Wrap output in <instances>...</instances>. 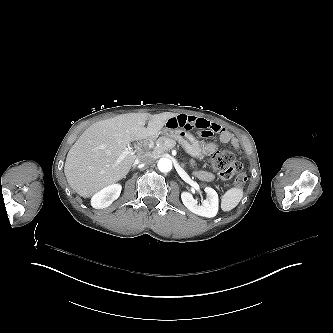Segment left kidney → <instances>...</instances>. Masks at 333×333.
Here are the masks:
<instances>
[{"label":"left kidney","mask_w":333,"mask_h":333,"mask_svg":"<svg viewBox=\"0 0 333 333\" xmlns=\"http://www.w3.org/2000/svg\"><path fill=\"white\" fill-rule=\"evenodd\" d=\"M207 199L203 201V206H199L194 195L190 191H182L180 196L183 205L192 213L206 218L215 217L218 214V194L210 187L205 188Z\"/></svg>","instance_id":"5707ae66"}]
</instances>
